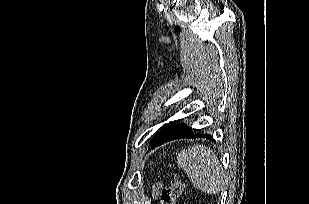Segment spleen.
<instances>
[{"mask_svg":"<svg viewBox=\"0 0 309 204\" xmlns=\"http://www.w3.org/2000/svg\"><path fill=\"white\" fill-rule=\"evenodd\" d=\"M177 164L196 189L209 194H216L222 189L224 171L217 155L205 145L197 144L181 151Z\"/></svg>","mask_w":309,"mask_h":204,"instance_id":"spleen-1","label":"spleen"}]
</instances>
